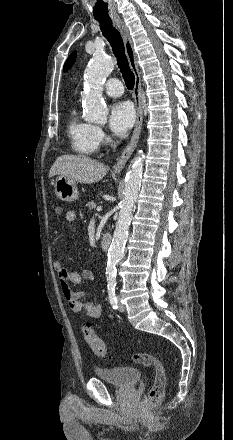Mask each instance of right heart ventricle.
Here are the masks:
<instances>
[{
  "instance_id": "1",
  "label": "right heart ventricle",
  "mask_w": 233,
  "mask_h": 440,
  "mask_svg": "<svg viewBox=\"0 0 233 440\" xmlns=\"http://www.w3.org/2000/svg\"><path fill=\"white\" fill-rule=\"evenodd\" d=\"M67 134L74 152L82 156L94 155L99 148L96 127L82 120L76 108L70 112Z\"/></svg>"
}]
</instances>
